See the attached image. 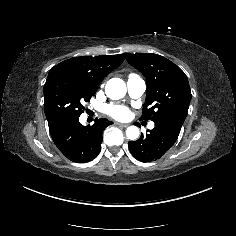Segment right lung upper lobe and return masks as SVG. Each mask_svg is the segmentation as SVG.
Instances as JSON below:
<instances>
[{"label": "right lung upper lobe", "mask_w": 236, "mask_h": 236, "mask_svg": "<svg viewBox=\"0 0 236 236\" xmlns=\"http://www.w3.org/2000/svg\"><path fill=\"white\" fill-rule=\"evenodd\" d=\"M123 60L124 54L97 57H74L57 64L53 68H60L84 74L96 87H98V84L103 78L118 67Z\"/></svg>", "instance_id": "right-lung-upper-lobe-1"}]
</instances>
